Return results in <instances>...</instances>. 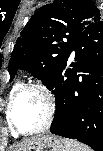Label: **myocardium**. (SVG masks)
<instances>
[{
    "instance_id": "obj_1",
    "label": "myocardium",
    "mask_w": 103,
    "mask_h": 151,
    "mask_svg": "<svg viewBox=\"0 0 103 151\" xmlns=\"http://www.w3.org/2000/svg\"><path fill=\"white\" fill-rule=\"evenodd\" d=\"M26 91H35L37 92L43 99L44 105H45V120L43 124L37 128L30 131L22 130L15 122L13 117V109L14 104L17 100V98ZM55 113V102L53 95L51 92L42 84L38 83H30L20 86L12 95V97L9 100L8 107H7V118L12 126L13 130L20 135H31L36 134L45 131L49 128V126L52 123L53 117Z\"/></svg>"
}]
</instances>
